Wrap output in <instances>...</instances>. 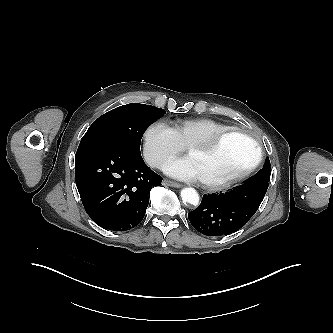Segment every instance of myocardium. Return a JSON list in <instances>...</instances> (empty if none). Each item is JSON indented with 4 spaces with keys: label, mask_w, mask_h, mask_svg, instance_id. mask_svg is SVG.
Wrapping results in <instances>:
<instances>
[{
    "label": "myocardium",
    "mask_w": 333,
    "mask_h": 333,
    "mask_svg": "<svg viewBox=\"0 0 333 333\" xmlns=\"http://www.w3.org/2000/svg\"><path fill=\"white\" fill-rule=\"evenodd\" d=\"M233 134L242 135L251 141V143L253 144V146L255 148L254 160L245 169H243L242 171H240L239 173L235 174L234 176H232L228 179H225L222 181H217V182H209V181L200 180L201 185L207 190L221 191V190H225V189L233 186L234 184L242 181L247 176H249L258 167V165L261 162L262 148H261L259 142L252 134H250L249 132H247L243 129H239V128H230L225 131L219 132L211 137L194 141L187 146V152L189 153L190 151H192L194 149L205 151V152L211 151L214 148H216L224 138H226L230 135H233Z\"/></svg>",
    "instance_id": "obj_1"
}]
</instances>
